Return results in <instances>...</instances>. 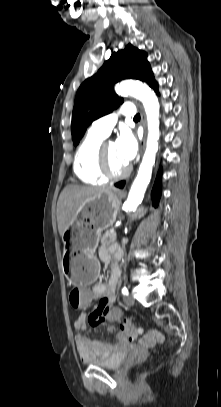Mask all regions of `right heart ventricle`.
Here are the masks:
<instances>
[{"instance_id": "obj_1", "label": "right heart ventricle", "mask_w": 221, "mask_h": 407, "mask_svg": "<svg viewBox=\"0 0 221 407\" xmlns=\"http://www.w3.org/2000/svg\"><path fill=\"white\" fill-rule=\"evenodd\" d=\"M104 139L105 136L89 130L77 149L74 172L85 184L101 185L107 181L98 166L99 149Z\"/></svg>"}]
</instances>
